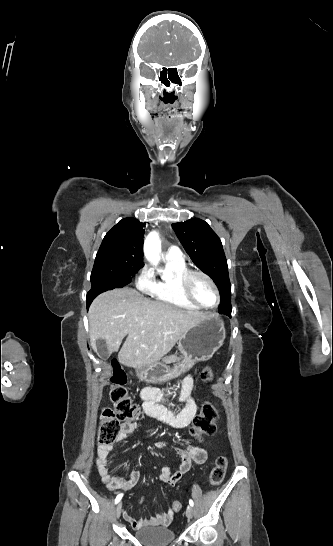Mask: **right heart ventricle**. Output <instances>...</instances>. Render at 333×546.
<instances>
[{
	"label": "right heart ventricle",
	"instance_id": "1",
	"mask_svg": "<svg viewBox=\"0 0 333 546\" xmlns=\"http://www.w3.org/2000/svg\"><path fill=\"white\" fill-rule=\"evenodd\" d=\"M188 270L184 260L166 259L164 273L156 283L154 298L157 302L189 311H198L199 307L188 301L182 294L179 280Z\"/></svg>",
	"mask_w": 333,
	"mask_h": 546
}]
</instances>
